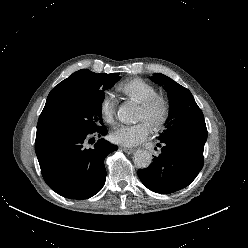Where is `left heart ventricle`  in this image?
I'll list each match as a JSON object with an SVG mask.
<instances>
[{"label":"left heart ventricle","mask_w":248,"mask_h":248,"mask_svg":"<svg viewBox=\"0 0 248 248\" xmlns=\"http://www.w3.org/2000/svg\"><path fill=\"white\" fill-rule=\"evenodd\" d=\"M158 115V111L156 110L152 115L147 114L144 110L138 107L137 110V120L146 121L149 125L151 124V119Z\"/></svg>","instance_id":"obj_1"}]
</instances>
